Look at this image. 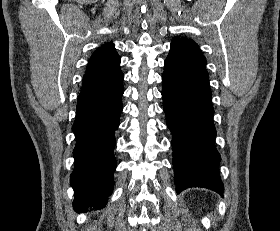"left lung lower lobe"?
<instances>
[{"label":"left lung lower lobe","mask_w":280,"mask_h":231,"mask_svg":"<svg viewBox=\"0 0 280 231\" xmlns=\"http://www.w3.org/2000/svg\"><path fill=\"white\" fill-rule=\"evenodd\" d=\"M162 82L163 109L172 132L177 193L189 187H204L222 196L208 75H177L165 65Z\"/></svg>","instance_id":"left-lung-lower-lobe-1"}]
</instances>
